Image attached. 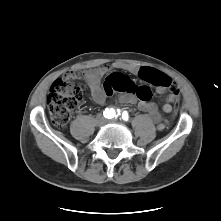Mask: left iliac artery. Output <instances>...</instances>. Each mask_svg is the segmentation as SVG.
Segmentation results:
<instances>
[{
  "label": "left iliac artery",
  "mask_w": 221,
  "mask_h": 221,
  "mask_svg": "<svg viewBox=\"0 0 221 221\" xmlns=\"http://www.w3.org/2000/svg\"><path fill=\"white\" fill-rule=\"evenodd\" d=\"M128 118H129L128 113H127L126 111H124V112L122 113V119L125 120V121H127Z\"/></svg>",
  "instance_id": "obj_1"
}]
</instances>
